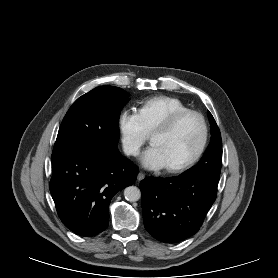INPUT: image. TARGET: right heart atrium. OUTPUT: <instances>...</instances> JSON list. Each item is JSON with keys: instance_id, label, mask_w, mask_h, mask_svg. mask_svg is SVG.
<instances>
[{"instance_id": "1", "label": "right heart atrium", "mask_w": 278, "mask_h": 278, "mask_svg": "<svg viewBox=\"0 0 278 278\" xmlns=\"http://www.w3.org/2000/svg\"><path fill=\"white\" fill-rule=\"evenodd\" d=\"M117 125L124 152L130 156L137 155L148 138L138 112L129 109L121 111Z\"/></svg>"}]
</instances>
